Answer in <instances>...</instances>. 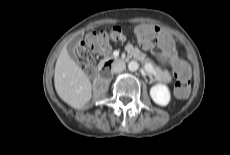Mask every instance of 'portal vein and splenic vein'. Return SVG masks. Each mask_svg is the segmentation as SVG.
Here are the masks:
<instances>
[{"label": "portal vein and splenic vein", "mask_w": 230, "mask_h": 155, "mask_svg": "<svg viewBox=\"0 0 230 155\" xmlns=\"http://www.w3.org/2000/svg\"><path fill=\"white\" fill-rule=\"evenodd\" d=\"M149 72H151V73H154V74H155V72H154V70H153V69H149Z\"/></svg>", "instance_id": "obj_1"}]
</instances>
